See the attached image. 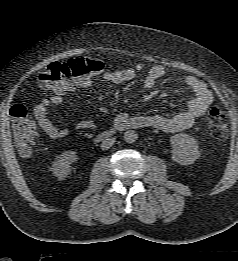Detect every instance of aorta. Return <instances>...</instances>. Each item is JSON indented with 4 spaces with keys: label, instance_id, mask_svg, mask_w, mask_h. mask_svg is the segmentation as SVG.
Listing matches in <instances>:
<instances>
[{
    "label": "aorta",
    "instance_id": "aorta-1",
    "mask_svg": "<svg viewBox=\"0 0 238 261\" xmlns=\"http://www.w3.org/2000/svg\"><path fill=\"white\" fill-rule=\"evenodd\" d=\"M138 139V134L134 130H128L124 133L126 143H134Z\"/></svg>",
    "mask_w": 238,
    "mask_h": 261
}]
</instances>
